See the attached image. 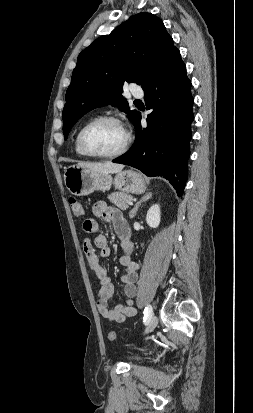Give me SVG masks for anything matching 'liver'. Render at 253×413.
I'll return each mask as SVG.
<instances>
[{
    "instance_id": "liver-1",
    "label": "liver",
    "mask_w": 253,
    "mask_h": 413,
    "mask_svg": "<svg viewBox=\"0 0 253 413\" xmlns=\"http://www.w3.org/2000/svg\"><path fill=\"white\" fill-rule=\"evenodd\" d=\"M77 166L100 173H117L124 168L123 164L113 162H80Z\"/></svg>"
}]
</instances>
